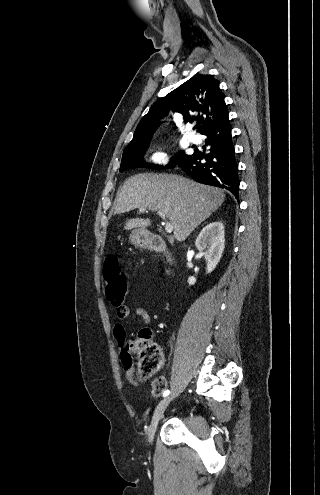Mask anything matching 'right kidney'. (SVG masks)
Listing matches in <instances>:
<instances>
[{
	"label": "right kidney",
	"instance_id": "ca27d5eb",
	"mask_svg": "<svg viewBox=\"0 0 320 495\" xmlns=\"http://www.w3.org/2000/svg\"><path fill=\"white\" fill-rule=\"evenodd\" d=\"M224 225L213 222L205 226L198 235L195 245L207 261L206 273L212 272L219 263L224 250ZM189 285L196 283V278H188Z\"/></svg>",
	"mask_w": 320,
	"mask_h": 495
}]
</instances>
